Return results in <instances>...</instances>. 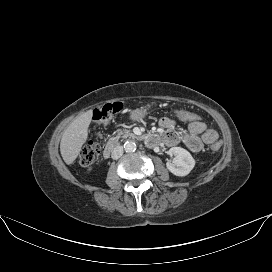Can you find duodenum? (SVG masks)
Wrapping results in <instances>:
<instances>
[{
	"label": "duodenum",
	"mask_w": 272,
	"mask_h": 272,
	"mask_svg": "<svg viewBox=\"0 0 272 272\" xmlns=\"http://www.w3.org/2000/svg\"><path fill=\"white\" fill-rule=\"evenodd\" d=\"M145 141L148 145L155 147L158 146L160 142V137L157 134H149L145 137ZM117 144L118 142L116 139H110L103 150V156L105 158H108L113 150L116 148Z\"/></svg>",
	"instance_id": "obj_1"
}]
</instances>
